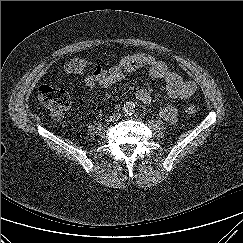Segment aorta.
Wrapping results in <instances>:
<instances>
[{
    "label": "aorta",
    "mask_w": 243,
    "mask_h": 243,
    "mask_svg": "<svg viewBox=\"0 0 243 243\" xmlns=\"http://www.w3.org/2000/svg\"><path fill=\"white\" fill-rule=\"evenodd\" d=\"M123 111L128 115H131L135 112V105L131 102H126L123 106Z\"/></svg>",
    "instance_id": "obj_1"
}]
</instances>
